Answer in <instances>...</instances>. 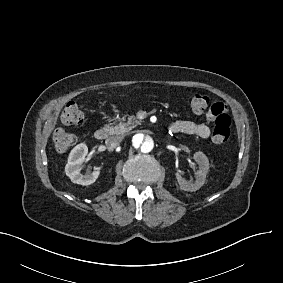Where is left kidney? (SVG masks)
<instances>
[{
    "label": "left kidney",
    "instance_id": "left-kidney-1",
    "mask_svg": "<svg viewBox=\"0 0 283 283\" xmlns=\"http://www.w3.org/2000/svg\"><path fill=\"white\" fill-rule=\"evenodd\" d=\"M194 160L199 165V170L196 172V180H186L181 176V172H176V179L179 183L180 189L184 191L194 192L200 189L205 181L209 170V160L203 152H196L193 156Z\"/></svg>",
    "mask_w": 283,
    "mask_h": 283
}]
</instances>
